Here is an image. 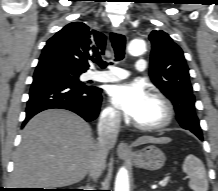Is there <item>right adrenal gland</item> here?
Masks as SVG:
<instances>
[{"mask_svg":"<svg viewBox=\"0 0 218 191\" xmlns=\"http://www.w3.org/2000/svg\"><path fill=\"white\" fill-rule=\"evenodd\" d=\"M84 190H93V188H92V186L87 185V186H85Z\"/></svg>","mask_w":218,"mask_h":191,"instance_id":"1","label":"right adrenal gland"}]
</instances>
